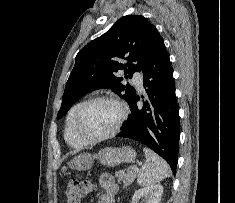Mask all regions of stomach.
<instances>
[{"label": "stomach", "mask_w": 235, "mask_h": 203, "mask_svg": "<svg viewBox=\"0 0 235 203\" xmlns=\"http://www.w3.org/2000/svg\"><path fill=\"white\" fill-rule=\"evenodd\" d=\"M136 158V152L129 146L121 148L106 147L101 149L97 154L82 153L75 157L69 167L75 170H88L92 167L94 160H98L105 166H116L122 162L130 163Z\"/></svg>", "instance_id": "obj_1"}]
</instances>
